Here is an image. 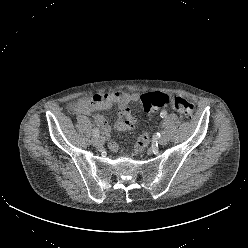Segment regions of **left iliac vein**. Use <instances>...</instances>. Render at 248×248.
Here are the masks:
<instances>
[{
  "label": "left iliac vein",
  "instance_id": "4c4485c4",
  "mask_svg": "<svg viewBox=\"0 0 248 248\" xmlns=\"http://www.w3.org/2000/svg\"><path fill=\"white\" fill-rule=\"evenodd\" d=\"M169 141V137L166 134V132H164V134L161 135V137L159 138L158 142L160 145H166Z\"/></svg>",
  "mask_w": 248,
  "mask_h": 248
}]
</instances>
